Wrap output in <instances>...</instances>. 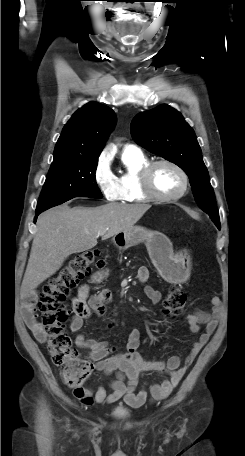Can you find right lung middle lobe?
Instances as JSON below:
<instances>
[{"label":"right lung middle lobe","mask_w":245,"mask_h":456,"mask_svg":"<svg viewBox=\"0 0 245 456\" xmlns=\"http://www.w3.org/2000/svg\"><path fill=\"white\" fill-rule=\"evenodd\" d=\"M98 158H72L52 163L37 203L42 212L74 197L102 198L95 172Z\"/></svg>","instance_id":"1"}]
</instances>
